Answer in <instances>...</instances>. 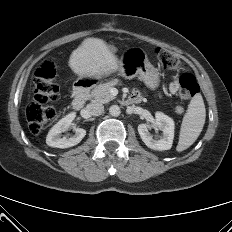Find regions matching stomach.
Here are the masks:
<instances>
[{"mask_svg": "<svg viewBox=\"0 0 232 232\" xmlns=\"http://www.w3.org/2000/svg\"><path fill=\"white\" fill-rule=\"evenodd\" d=\"M118 73L127 79L138 76L150 89H155L159 85V72L148 61L146 52L140 47L130 48L123 53L119 62ZM88 80L89 78L86 76L78 79L80 82Z\"/></svg>", "mask_w": 232, "mask_h": 232, "instance_id": "1", "label": "stomach"}]
</instances>
